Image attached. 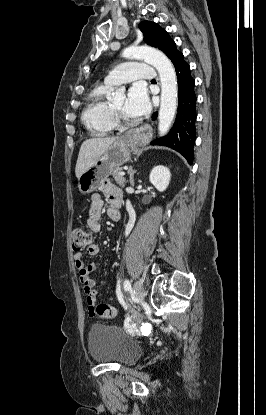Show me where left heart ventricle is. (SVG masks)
I'll list each match as a JSON object with an SVG mask.
<instances>
[{
	"label": "left heart ventricle",
	"instance_id": "b2bd125f",
	"mask_svg": "<svg viewBox=\"0 0 266 415\" xmlns=\"http://www.w3.org/2000/svg\"><path fill=\"white\" fill-rule=\"evenodd\" d=\"M125 103H126V96L125 95H121L114 103L113 106L115 108H117L118 110H120L125 116L129 117L128 115H126L125 111H124V107H125Z\"/></svg>",
	"mask_w": 266,
	"mask_h": 415
}]
</instances>
